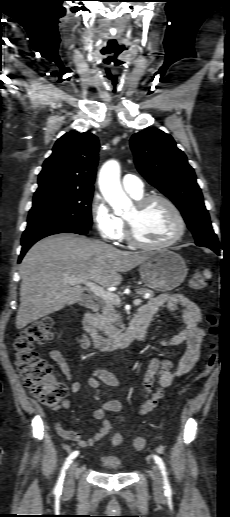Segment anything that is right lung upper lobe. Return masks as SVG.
I'll list each match as a JSON object with an SVG mask.
<instances>
[{
  "label": "right lung upper lobe",
  "instance_id": "right-lung-upper-lobe-1",
  "mask_svg": "<svg viewBox=\"0 0 230 517\" xmlns=\"http://www.w3.org/2000/svg\"><path fill=\"white\" fill-rule=\"evenodd\" d=\"M99 141L92 133L71 131L57 140L38 178L34 198L56 193L93 191Z\"/></svg>",
  "mask_w": 230,
  "mask_h": 517
}]
</instances>
